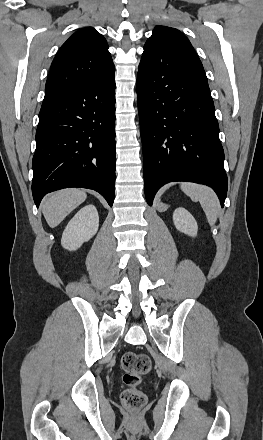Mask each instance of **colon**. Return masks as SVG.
<instances>
[{
  "mask_svg": "<svg viewBox=\"0 0 263 440\" xmlns=\"http://www.w3.org/2000/svg\"><path fill=\"white\" fill-rule=\"evenodd\" d=\"M121 366L125 385L120 395L121 403L128 410L140 411L146 406L147 397L139 386L151 370V359L147 354L128 351L121 358Z\"/></svg>",
  "mask_w": 263,
  "mask_h": 440,
  "instance_id": "1",
  "label": "colon"
}]
</instances>
